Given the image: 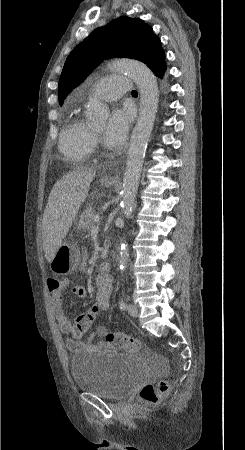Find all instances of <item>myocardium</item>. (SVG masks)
Instances as JSON below:
<instances>
[{
	"instance_id": "f54148a6",
	"label": "myocardium",
	"mask_w": 245,
	"mask_h": 450,
	"mask_svg": "<svg viewBox=\"0 0 245 450\" xmlns=\"http://www.w3.org/2000/svg\"><path fill=\"white\" fill-rule=\"evenodd\" d=\"M93 136H94V139L99 140V134L94 129H93Z\"/></svg>"
}]
</instances>
